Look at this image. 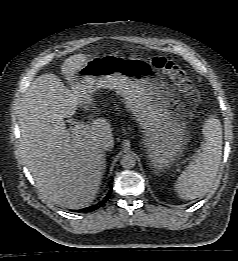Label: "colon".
Masks as SVG:
<instances>
[{
  "mask_svg": "<svg viewBox=\"0 0 238 261\" xmlns=\"http://www.w3.org/2000/svg\"><path fill=\"white\" fill-rule=\"evenodd\" d=\"M148 62L154 68L167 75L180 91L185 94L189 102L195 104L199 101V91L194 81L183 68L162 56L150 57L148 58Z\"/></svg>",
  "mask_w": 238,
  "mask_h": 261,
  "instance_id": "colon-1",
  "label": "colon"
}]
</instances>
